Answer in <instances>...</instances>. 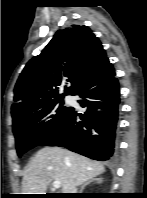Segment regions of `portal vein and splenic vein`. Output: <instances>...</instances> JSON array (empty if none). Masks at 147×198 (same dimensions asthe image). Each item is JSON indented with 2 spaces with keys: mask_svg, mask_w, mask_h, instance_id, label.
I'll use <instances>...</instances> for the list:
<instances>
[{
  "mask_svg": "<svg viewBox=\"0 0 147 198\" xmlns=\"http://www.w3.org/2000/svg\"><path fill=\"white\" fill-rule=\"evenodd\" d=\"M52 186L55 188V189H58L61 187V181L60 180H55L52 182Z\"/></svg>",
  "mask_w": 147,
  "mask_h": 198,
  "instance_id": "obj_1",
  "label": "portal vein and splenic vein"
}]
</instances>
